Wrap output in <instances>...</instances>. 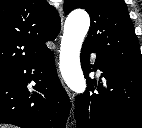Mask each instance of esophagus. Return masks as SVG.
<instances>
[{
  "label": "esophagus",
  "instance_id": "esophagus-1",
  "mask_svg": "<svg viewBox=\"0 0 142 128\" xmlns=\"http://www.w3.org/2000/svg\"><path fill=\"white\" fill-rule=\"evenodd\" d=\"M60 15H61V19H62V22H63V12H62V8L61 7H60ZM67 92H68L70 98L73 99V95L70 93V91L67 90Z\"/></svg>",
  "mask_w": 142,
  "mask_h": 128
}]
</instances>
